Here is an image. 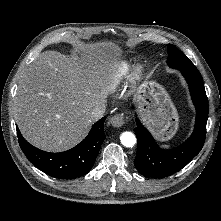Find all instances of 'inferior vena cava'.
Returning <instances> with one entry per match:
<instances>
[{
  "label": "inferior vena cava",
  "mask_w": 221,
  "mask_h": 221,
  "mask_svg": "<svg viewBox=\"0 0 221 221\" xmlns=\"http://www.w3.org/2000/svg\"><path fill=\"white\" fill-rule=\"evenodd\" d=\"M106 111V105L105 104H101L96 106L92 112H91V116L94 120H99L100 118L103 117L104 113Z\"/></svg>",
  "instance_id": "1"
}]
</instances>
